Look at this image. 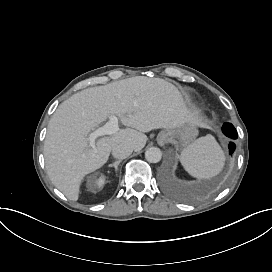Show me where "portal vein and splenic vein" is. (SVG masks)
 Here are the masks:
<instances>
[{
	"label": "portal vein and splenic vein",
	"mask_w": 272,
	"mask_h": 272,
	"mask_svg": "<svg viewBox=\"0 0 272 272\" xmlns=\"http://www.w3.org/2000/svg\"><path fill=\"white\" fill-rule=\"evenodd\" d=\"M118 131H119L118 119L117 117L112 116L103 126L98 127L89 134H87L86 139L88 140L91 146H94L97 138L104 135L115 134Z\"/></svg>",
	"instance_id": "obj_1"
}]
</instances>
